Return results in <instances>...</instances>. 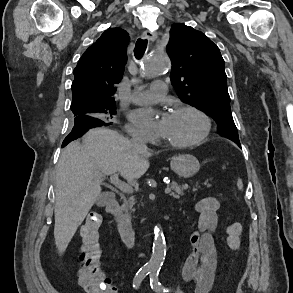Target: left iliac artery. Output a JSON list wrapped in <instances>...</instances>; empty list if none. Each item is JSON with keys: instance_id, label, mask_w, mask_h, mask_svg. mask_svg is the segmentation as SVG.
<instances>
[{"instance_id": "left-iliac-artery-1", "label": "left iliac artery", "mask_w": 293, "mask_h": 293, "mask_svg": "<svg viewBox=\"0 0 293 293\" xmlns=\"http://www.w3.org/2000/svg\"><path fill=\"white\" fill-rule=\"evenodd\" d=\"M159 271L158 269H152L150 272V285L151 288L157 292H168V290L163 286V284L159 281Z\"/></svg>"}]
</instances>
